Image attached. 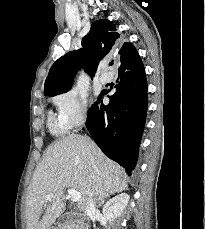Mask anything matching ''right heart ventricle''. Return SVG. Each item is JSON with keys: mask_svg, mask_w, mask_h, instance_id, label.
Returning <instances> with one entry per match:
<instances>
[{"mask_svg": "<svg viewBox=\"0 0 205 229\" xmlns=\"http://www.w3.org/2000/svg\"><path fill=\"white\" fill-rule=\"evenodd\" d=\"M48 124L50 131L54 135H62L68 130L66 126L59 120V118L56 119L52 114L49 115Z\"/></svg>", "mask_w": 205, "mask_h": 229, "instance_id": "right-heart-ventricle-1", "label": "right heart ventricle"}]
</instances>
